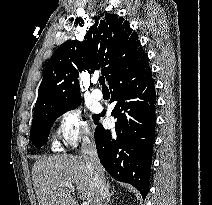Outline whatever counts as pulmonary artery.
<instances>
[{
    "mask_svg": "<svg viewBox=\"0 0 212 205\" xmlns=\"http://www.w3.org/2000/svg\"><path fill=\"white\" fill-rule=\"evenodd\" d=\"M93 83L96 84L97 80L94 79ZM91 95L96 100H102L103 99V93H102V91L100 89H97V88L93 89L92 92H91Z\"/></svg>",
    "mask_w": 212,
    "mask_h": 205,
    "instance_id": "e3ab8cb5",
    "label": "pulmonary artery"
}]
</instances>
